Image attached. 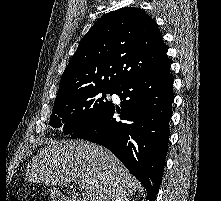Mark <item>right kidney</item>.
<instances>
[{
	"label": "right kidney",
	"instance_id": "obj_1",
	"mask_svg": "<svg viewBox=\"0 0 221 201\" xmlns=\"http://www.w3.org/2000/svg\"><path fill=\"white\" fill-rule=\"evenodd\" d=\"M114 201H129L128 198L126 197H120V198H117L116 200Z\"/></svg>",
	"mask_w": 221,
	"mask_h": 201
}]
</instances>
